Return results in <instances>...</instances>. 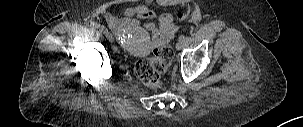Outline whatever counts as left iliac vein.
Returning <instances> with one entry per match:
<instances>
[{
	"mask_svg": "<svg viewBox=\"0 0 303 127\" xmlns=\"http://www.w3.org/2000/svg\"><path fill=\"white\" fill-rule=\"evenodd\" d=\"M187 45H188V43H187L185 37L180 36L179 40H178V43H177V49L181 50V49L185 48Z\"/></svg>",
	"mask_w": 303,
	"mask_h": 127,
	"instance_id": "4c4485c4",
	"label": "left iliac vein"
}]
</instances>
